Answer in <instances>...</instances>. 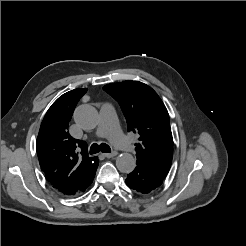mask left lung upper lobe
<instances>
[{
  "mask_svg": "<svg viewBox=\"0 0 246 246\" xmlns=\"http://www.w3.org/2000/svg\"><path fill=\"white\" fill-rule=\"evenodd\" d=\"M103 89L120 105L128 131L139 134L135 144L137 164L166 177L173 157V138L168 111L157 93L139 81L127 80Z\"/></svg>",
  "mask_w": 246,
  "mask_h": 246,
  "instance_id": "left-lung-upper-lobe-1",
  "label": "left lung upper lobe"
}]
</instances>
